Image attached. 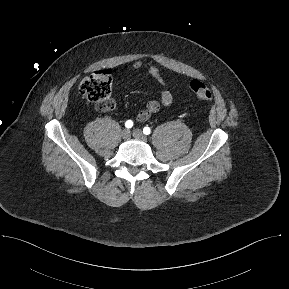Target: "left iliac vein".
Segmentation results:
<instances>
[{
  "mask_svg": "<svg viewBox=\"0 0 289 289\" xmlns=\"http://www.w3.org/2000/svg\"><path fill=\"white\" fill-rule=\"evenodd\" d=\"M133 136L141 141H146L147 137L144 135V133L140 129H134L133 130Z\"/></svg>",
  "mask_w": 289,
  "mask_h": 289,
  "instance_id": "4c4485c4",
  "label": "left iliac vein"
}]
</instances>
